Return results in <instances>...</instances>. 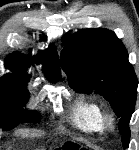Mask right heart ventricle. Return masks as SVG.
I'll use <instances>...</instances> for the list:
<instances>
[{
  "mask_svg": "<svg viewBox=\"0 0 139 150\" xmlns=\"http://www.w3.org/2000/svg\"><path fill=\"white\" fill-rule=\"evenodd\" d=\"M103 110L91 99L79 98L71 108L70 122L78 130L89 134H101Z\"/></svg>",
  "mask_w": 139,
  "mask_h": 150,
  "instance_id": "obj_1",
  "label": "right heart ventricle"
}]
</instances>
